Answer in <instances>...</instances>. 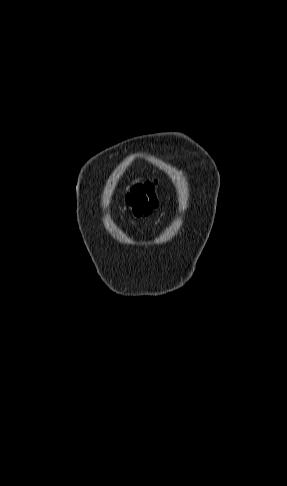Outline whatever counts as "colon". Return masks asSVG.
Listing matches in <instances>:
<instances>
[{
  "mask_svg": "<svg viewBox=\"0 0 287 486\" xmlns=\"http://www.w3.org/2000/svg\"><path fill=\"white\" fill-rule=\"evenodd\" d=\"M126 202L135 216L150 214L159 205L157 181H146L133 186L126 196Z\"/></svg>",
  "mask_w": 287,
  "mask_h": 486,
  "instance_id": "obj_1",
  "label": "colon"
}]
</instances>
